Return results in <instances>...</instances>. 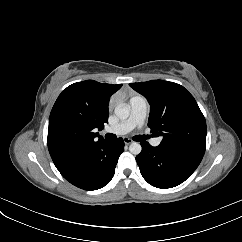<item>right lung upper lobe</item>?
I'll use <instances>...</instances> for the list:
<instances>
[{
  "label": "right lung upper lobe",
  "instance_id": "1",
  "mask_svg": "<svg viewBox=\"0 0 242 242\" xmlns=\"http://www.w3.org/2000/svg\"><path fill=\"white\" fill-rule=\"evenodd\" d=\"M122 84L112 85L86 80L74 83L57 98L49 118L48 149L54 164L69 158L96 142L95 129L108 123V104Z\"/></svg>",
  "mask_w": 242,
  "mask_h": 242
}]
</instances>
